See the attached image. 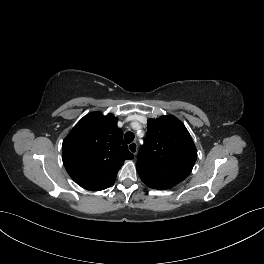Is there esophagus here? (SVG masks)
Returning <instances> with one entry per match:
<instances>
[{"mask_svg": "<svg viewBox=\"0 0 264 264\" xmlns=\"http://www.w3.org/2000/svg\"><path fill=\"white\" fill-rule=\"evenodd\" d=\"M128 149H129V151H130L132 154L136 155V153H137V144H136V142H131V143L128 145Z\"/></svg>", "mask_w": 264, "mask_h": 264, "instance_id": "obj_1", "label": "esophagus"}]
</instances>
